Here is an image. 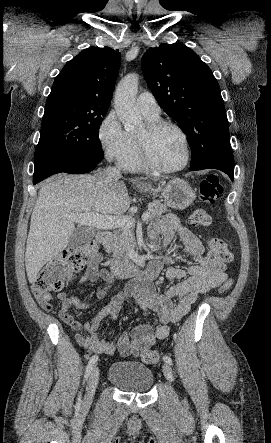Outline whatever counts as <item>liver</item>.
<instances>
[{
	"instance_id": "1",
	"label": "liver",
	"mask_w": 271,
	"mask_h": 443,
	"mask_svg": "<svg viewBox=\"0 0 271 443\" xmlns=\"http://www.w3.org/2000/svg\"><path fill=\"white\" fill-rule=\"evenodd\" d=\"M157 182V180H154ZM130 198L120 178L59 174L43 184L31 216L25 251L28 281L33 283L41 267L63 251L75 231L71 216L101 214L105 218L124 214Z\"/></svg>"
}]
</instances>
